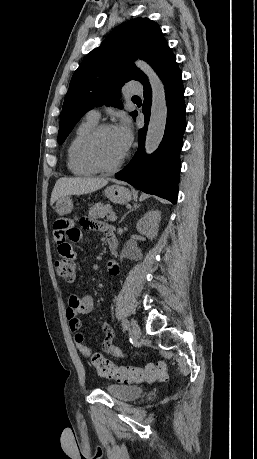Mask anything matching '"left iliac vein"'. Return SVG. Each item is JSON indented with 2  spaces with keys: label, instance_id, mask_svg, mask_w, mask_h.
<instances>
[{
  "label": "left iliac vein",
  "instance_id": "left-iliac-vein-1",
  "mask_svg": "<svg viewBox=\"0 0 257 459\" xmlns=\"http://www.w3.org/2000/svg\"><path fill=\"white\" fill-rule=\"evenodd\" d=\"M130 333L134 339H138L141 335V329L134 319L130 322Z\"/></svg>",
  "mask_w": 257,
  "mask_h": 459
}]
</instances>
